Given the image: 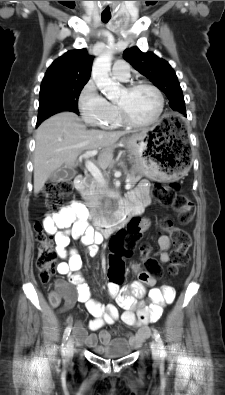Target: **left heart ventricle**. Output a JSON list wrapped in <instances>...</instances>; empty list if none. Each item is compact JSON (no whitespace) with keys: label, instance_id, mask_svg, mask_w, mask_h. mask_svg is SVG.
Instances as JSON below:
<instances>
[{"label":"left heart ventricle","instance_id":"obj_1","mask_svg":"<svg viewBox=\"0 0 225 395\" xmlns=\"http://www.w3.org/2000/svg\"><path fill=\"white\" fill-rule=\"evenodd\" d=\"M130 119L136 122H146L154 117L158 108L155 93L148 88H139L133 92L123 89L117 98Z\"/></svg>","mask_w":225,"mask_h":395}]
</instances>
